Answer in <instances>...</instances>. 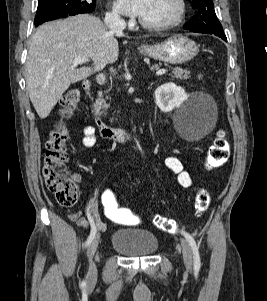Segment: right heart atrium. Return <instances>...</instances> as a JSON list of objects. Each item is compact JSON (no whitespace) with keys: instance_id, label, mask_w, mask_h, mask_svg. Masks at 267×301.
<instances>
[{"instance_id":"right-heart-atrium-1","label":"right heart atrium","mask_w":267,"mask_h":301,"mask_svg":"<svg viewBox=\"0 0 267 301\" xmlns=\"http://www.w3.org/2000/svg\"><path fill=\"white\" fill-rule=\"evenodd\" d=\"M107 19L111 21H119L121 20V16L118 10L115 7H112L110 11L107 13Z\"/></svg>"}]
</instances>
